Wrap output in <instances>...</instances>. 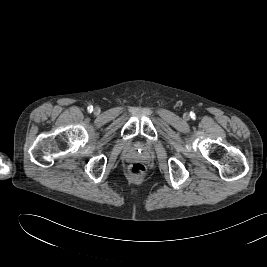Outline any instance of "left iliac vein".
Returning a JSON list of instances; mask_svg holds the SVG:
<instances>
[{"mask_svg":"<svg viewBox=\"0 0 267 267\" xmlns=\"http://www.w3.org/2000/svg\"><path fill=\"white\" fill-rule=\"evenodd\" d=\"M189 116H188V114H185V118H188Z\"/></svg>","mask_w":267,"mask_h":267,"instance_id":"1","label":"left iliac vein"}]
</instances>
